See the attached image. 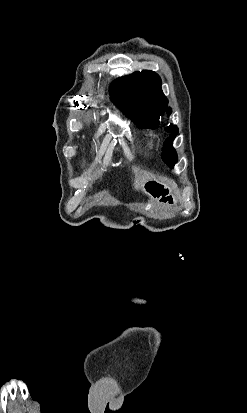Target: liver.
Returning a JSON list of instances; mask_svg holds the SVG:
<instances>
[{
	"mask_svg": "<svg viewBox=\"0 0 247 413\" xmlns=\"http://www.w3.org/2000/svg\"><path fill=\"white\" fill-rule=\"evenodd\" d=\"M150 178H155V174H153V172H147V170H141L139 174H135L134 184H133L134 188H136V190H140L144 182H146V180H150Z\"/></svg>",
	"mask_w": 247,
	"mask_h": 413,
	"instance_id": "liver-1",
	"label": "liver"
}]
</instances>
